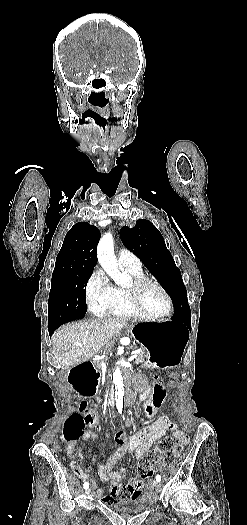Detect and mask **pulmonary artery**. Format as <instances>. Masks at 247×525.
Returning <instances> with one entry per match:
<instances>
[{
  "mask_svg": "<svg viewBox=\"0 0 247 525\" xmlns=\"http://www.w3.org/2000/svg\"><path fill=\"white\" fill-rule=\"evenodd\" d=\"M118 258L122 262L129 264V265H135L134 255L132 252H130L126 248H120L118 251Z\"/></svg>",
  "mask_w": 247,
  "mask_h": 525,
  "instance_id": "1",
  "label": "pulmonary artery"
}]
</instances>
